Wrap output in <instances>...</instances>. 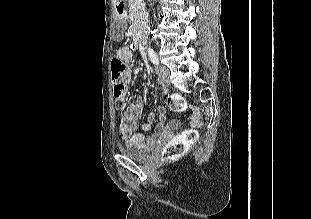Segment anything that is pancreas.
I'll list each match as a JSON object with an SVG mask.
<instances>
[{"instance_id": "pancreas-1", "label": "pancreas", "mask_w": 311, "mask_h": 219, "mask_svg": "<svg viewBox=\"0 0 311 219\" xmlns=\"http://www.w3.org/2000/svg\"><path fill=\"white\" fill-rule=\"evenodd\" d=\"M143 14H144V5L142 3L136 2V0H130L128 17L132 22L130 30L133 33H137L141 29Z\"/></svg>"}]
</instances>
